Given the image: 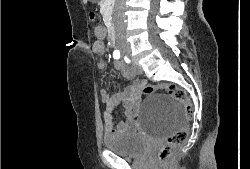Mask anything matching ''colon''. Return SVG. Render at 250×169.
Segmentation results:
<instances>
[{
  "mask_svg": "<svg viewBox=\"0 0 250 169\" xmlns=\"http://www.w3.org/2000/svg\"><path fill=\"white\" fill-rule=\"evenodd\" d=\"M89 17L92 21L96 19V14L90 12ZM93 50H98V45H93ZM145 85V90H140V95H150L154 93V90H165V93H170L174 99L185 105L184 115L186 120H193L194 110H192L194 103L188 98L186 94V88H178L175 85ZM191 135L190 126H181L180 130H176V133L171 134L164 145H161V150H157V166L159 169H175V161H173V155H177V150H183V143Z\"/></svg>",
  "mask_w": 250,
  "mask_h": 169,
  "instance_id": "1",
  "label": "colon"
}]
</instances>
